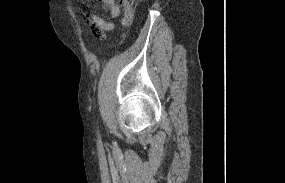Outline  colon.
Segmentation results:
<instances>
[{
    "mask_svg": "<svg viewBox=\"0 0 285 183\" xmlns=\"http://www.w3.org/2000/svg\"><path fill=\"white\" fill-rule=\"evenodd\" d=\"M121 4L124 10V16L122 19V24L124 28H129L133 22L134 18V0H121ZM125 36V34H124Z\"/></svg>",
    "mask_w": 285,
    "mask_h": 183,
    "instance_id": "5ec220e1",
    "label": "colon"
}]
</instances>
